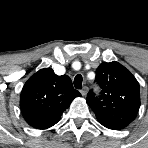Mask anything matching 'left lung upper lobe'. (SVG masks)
I'll return each instance as SVG.
<instances>
[{"instance_id":"1","label":"left lung upper lobe","mask_w":148,"mask_h":148,"mask_svg":"<svg viewBox=\"0 0 148 148\" xmlns=\"http://www.w3.org/2000/svg\"><path fill=\"white\" fill-rule=\"evenodd\" d=\"M95 81L100 96L90 90L86 101L106 128L121 130L136 117L140 107V87L132 73L118 62L101 63Z\"/></svg>"}]
</instances>
